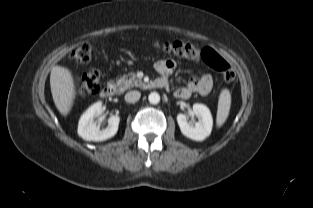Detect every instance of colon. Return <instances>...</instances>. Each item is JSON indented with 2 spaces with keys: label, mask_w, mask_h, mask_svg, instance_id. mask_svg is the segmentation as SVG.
Here are the masks:
<instances>
[{
  "label": "colon",
  "mask_w": 313,
  "mask_h": 208,
  "mask_svg": "<svg viewBox=\"0 0 313 208\" xmlns=\"http://www.w3.org/2000/svg\"><path fill=\"white\" fill-rule=\"evenodd\" d=\"M156 49L164 53L172 54L189 60L202 59L212 69L220 72L226 82H232L236 78L234 69L216 51L211 48L199 50L193 44L185 41H172L154 44ZM92 46L87 42L80 43L72 52L71 58L78 64H86L90 61ZM100 89V71L90 69L77 80V90L83 96L98 93Z\"/></svg>",
  "instance_id": "colon-1"
}]
</instances>
